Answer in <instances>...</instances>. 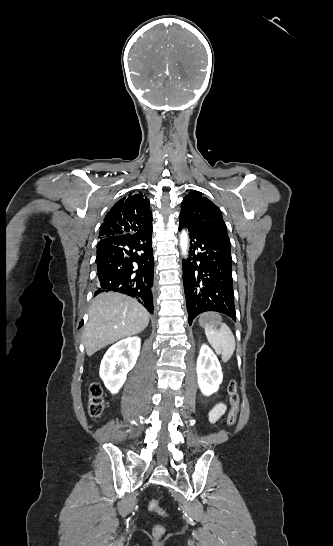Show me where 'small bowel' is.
<instances>
[{
  "label": "small bowel",
  "mask_w": 333,
  "mask_h": 546,
  "mask_svg": "<svg viewBox=\"0 0 333 546\" xmlns=\"http://www.w3.org/2000/svg\"><path fill=\"white\" fill-rule=\"evenodd\" d=\"M226 411V406L223 403L217 404L208 415L209 421L211 423H215L217 420L220 419L224 415Z\"/></svg>",
  "instance_id": "small-bowel-1"
}]
</instances>
